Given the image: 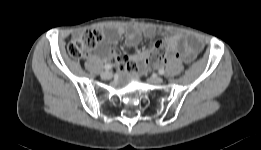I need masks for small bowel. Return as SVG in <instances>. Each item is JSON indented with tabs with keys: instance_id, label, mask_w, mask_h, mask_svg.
<instances>
[{
	"instance_id": "obj_1",
	"label": "small bowel",
	"mask_w": 261,
	"mask_h": 150,
	"mask_svg": "<svg viewBox=\"0 0 261 150\" xmlns=\"http://www.w3.org/2000/svg\"><path fill=\"white\" fill-rule=\"evenodd\" d=\"M125 33L124 28L118 27L111 30L108 34L107 40L103 42L97 52L101 56H106L110 52V44L116 43L118 39ZM157 34L156 28L146 26H131L126 31V45L134 47L140 43L143 38H152ZM168 45L177 50L181 45L183 46L184 58L189 61L194 57L202 48L199 40L194 38H183L179 34L172 35L166 41ZM148 52H136L129 57H124L117 52L112 54L120 71H128L133 77H138L141 69L143 68V61L145 60Z\"/></svg>"
}]
</instances>
